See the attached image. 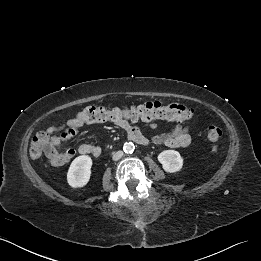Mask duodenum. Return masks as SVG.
<instances>
[{"label": "duodenum", "instance_id": "1", "mask_svg": "<svg viewBox=\"0 0 261 261\" xmlns=\"http://www.w3.org/2000/svg\"><path fill=\"white\" fill-rule=\"evenodd\" d=\"M129 140L136 142L142 146L148 145L149 141L141 133H134L128 136Z\"/></svg>", "mask_w": 261, "mask_h": 261}]
</instances>
